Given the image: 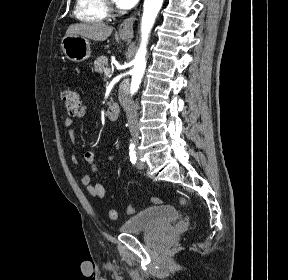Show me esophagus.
Wrapping results in <instances>:
<instances>
[{"label":"esophagus","mask_w":288,"mask_h":280,"mask_svg":"<svg viewBox=\"0 0 288 280\" xmlns=\"http://www.w3.org/2000/svg\"><path fill=\"white\" fill-rule=\"evenodd\" d=\"M137 12L133 13L129 17L123 20V22L120 24L118 28V33L120 37L131 39L133 37V26L134 22L136 20Z\"/></svg>","instance_id":"34e87169"}]
</instances>
